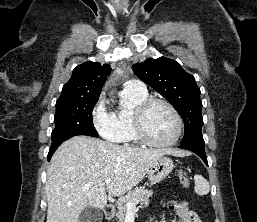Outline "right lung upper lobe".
I'll use <instances>...</instances> for the list:
<instances>
[{
  "mask_svg": "<svg viewBox=\"0 0 257 222\" xmlns=\"http://www.w3.org/2000/svg\"><path fill=\"white\" fill-rule=\"evenodd\" d=\"M110 72L111 67L108 64L85 62L78 65L74 68L70 80L63 86L61 96L57 101L100 95Z\"/></svg>",
  "mask_w": 257,
  "mask_h": 222,
  "instance_id": "right-lung-upper-lobe-1",
  "label": "right lung upper lobe"
}]
</instances>
